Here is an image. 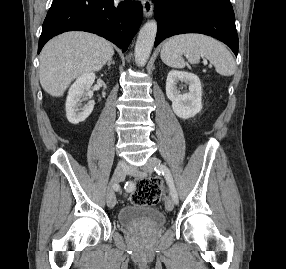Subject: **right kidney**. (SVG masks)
<instances>
[{
    "label": "right kidney",
    "mask_w": 286,
    "mask_h": 269,
    "mask_svg": "<svg viewBox=\"0 0 286 269\" xmlns=\"http://www.w3.org/2000/svg\"><path fill=\"white\" fill-rule=\"evenodd\" d=\"M95 81L94 73L81 75L71 85L66 100V117L72 124L83 122L93 111L95 102L88 100L93 96L91 86ZM82 101H87L82 104Z\"/></svg>",
    "instance_id": "obj_1"
}]
</instances>
